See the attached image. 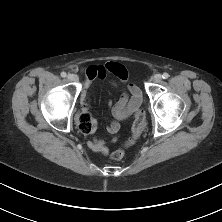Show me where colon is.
Listing matches in <instances>:
<instances>
[{"label":"colon","mask_w":222,"mask_h":222,"mask_svg":"<svg viewBox=\"0 0 222 222\" xmlns=\"http://www.w3.org/2000/svg\"><path fill=\"white\" fill-rule=\"evenodd\" d=\"M116 65H119V64L111 63L110 67L113 68ZM144 120H145L144 111L138 110L135 114V121H134L133 128H132V135L129 138V140L126 142L125 146H127V147L132 146L138 140V138L140 137L141 132L143 130V127H144ZM91 125H92V116H91L90 112L88 111L85 114L80 113V115L78 117L79 129L83 133H86L90 129ZM124 155H125L124 150L118 149L111 154V159L114 161H119L124 157Z\"/></svg>","instance_id":"colon-1"}]
</instances>
